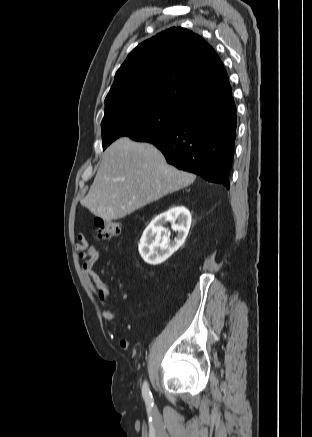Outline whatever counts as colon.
I'll return each instance as SVG.
<instances>
[{
  "instance_id": "obj_1",
  "label": "colon",
  "mask_w": 312,
  "mask_h": 437,
  "mask_svg": "<svg viewBox=\"0 0 312 437\" xmlns=\"http://www.w3.org/2000/svg\"><path fill=\"white\" fill-rule=\"evenodd\" d=\"M121 232V226L116 221L96 218L95 235L100 239H111L118 236Z\"/></svg>"
}]
</instances>
